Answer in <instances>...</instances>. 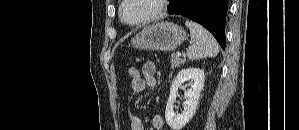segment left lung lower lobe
I'll return each instance as SVG.
<instances>
[{
    "mask_svg": "<svg viewBox=\"0 0 299 130\" xmlns=\"http://www.w3.org/2000/svg\"><path fill=\"white\" fill-rule=\"evenodd\" d=\"M168 13L185 16L208 29L225 49L228 0H171Z\"/></svg>",
    "mask_w": 299,
    "mask_h": 130,
    "instance_id": "1",
    "label": "left lung lower lobe"
}]
</instances>
